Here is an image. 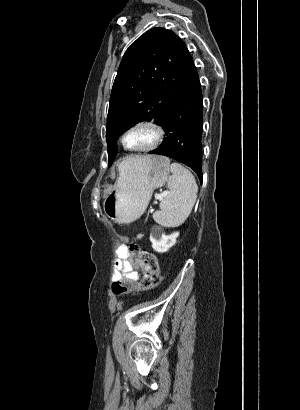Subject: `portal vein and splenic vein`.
<instances>
[{
	"mask_svg": "<svg viewBox=\"0 0 300 410\" xmlns=\"http://www.w3.org/2000/svg\"><path fill=\"white\" fill-rule=\"evenodd\" d=\"M167 195V192H163L161 194H155V199L160 200Z\"/></svg>",
	"mask_w": 300,
	"mask_h": 410,
	"instance_id": "obj_1",
	"label": "portal vein and splenic vein"
}]
</instances>
